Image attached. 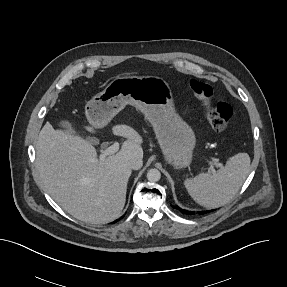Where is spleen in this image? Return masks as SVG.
Masks as SVG:
<instances>
[{"mask_svg":"<svg viewBox=\"0 0 287 287\" xmlns=\"http://www.w3.org/2000/svg\"><path fill=\"white\" fill-rule=\"evenodd\" d=\"M250 171V157L238 153L216 172L201 173L186 179L184 185L195 202L207 208L228 203L239 191Z\"/></svg>","mask_w":287,"mask_h":287,"instance_id":"obj_1","label":"spleen"}]
</instances>
